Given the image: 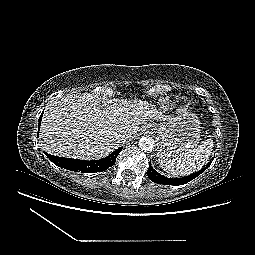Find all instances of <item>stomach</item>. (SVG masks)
<instances>
[{"label": "stomach", "mask_w": 255, "mask_h": 255, "mask_svg": "<svg viewBox=\"0 0 255 255\" xmlns=\"http://www.w3.org/2000/svg\"><path fill=\"white\" fill-rule=\"evenodd\" d=\"M152 125L158 133L159 155L174 157L191 150L200 141V121L193 113H184Z\"/></svg>", "instance_id": "stomach-1"}]
</instances>
